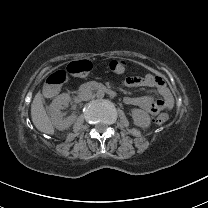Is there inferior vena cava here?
I'll list each match as a JSON object with an SVG mask.
<instances>
[{
	"instance_id": "602c4592",
	"label": "inferior vena cava",
	"mask_w": 208,
	"mask_h": 208,
	"mask_svg": "<svg viewBox=\"0 0 208 208\" xmlns=\"http://www.w3.org/2000/svg\"><path fill=\"white\" fill-rule=\"evenodd\" d=\"M78 98L82 101H88L92 98V92L88 89H83L79 92Z\"/></svg>"
}]
</instances>
